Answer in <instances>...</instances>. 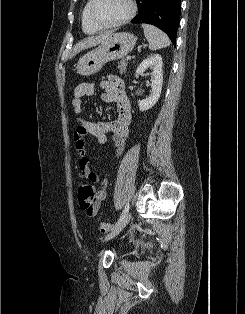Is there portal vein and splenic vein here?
<instances>
[{"label":"portal vein and splenic vein","instance_id":"portal-vein-and-splenic-vein-1","mask_svg":"<svg viewBox=\"0 0 245 314\" xmlns=\"http://www.w3.org/2000/svg\"><path fill=\"white\" fill-rule=\"evenodd\" d=\"M131 59V56H127V60H130Z\"/></svg>","mask_w":245,"mask_h":314}]
</instances>
